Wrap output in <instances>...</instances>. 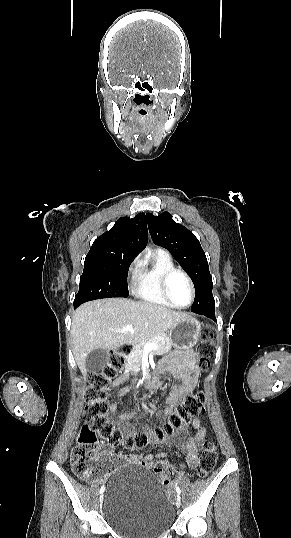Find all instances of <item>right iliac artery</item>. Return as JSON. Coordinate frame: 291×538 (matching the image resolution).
Returning <instances> with one entry per match:
<instances>
[{"mask_svg":"<svg viewBox=\"0 0 291 538\" xmlns=\"http://www.w3.org/2000/svg\"><path fill=\"white\" fill-rule=\"evenodd\" d=\"M104 489H105V487H104V485H103V486L101 487V489H100V494H102V493L104 492Z\"/></svg>","mask_w":291,"mask_h":538,"instance_id":"right-iliac-artery-1","label":"right iliac artery"}]
</instances>
